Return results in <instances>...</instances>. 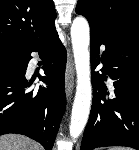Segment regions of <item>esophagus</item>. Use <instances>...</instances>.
<instances>
[{
	"label": "esophagus",
	"mask_w": 139,
	"mask_h": 150,
	"mask_svg": "<svg viewBox=\"0 0 139 150\" xmlns=\"http://www.w3.org/2000/svg\"><path fill=\"white\" fill-rule=\"evenodd\" d=\"M74 89V63L70 50L68 49V57L65 74V91L67 98H70Z\"/></svg>",
	"instance_id": "1"
}]
</instances>
